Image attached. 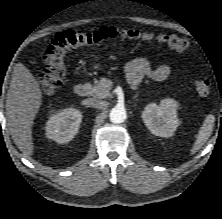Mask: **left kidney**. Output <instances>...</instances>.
<instances>
[{"mask_svg": "<svg viewBox=\"0 0 222 219\" xmlns=\"http://www.w3.org/2000/svg\"><path fill=\"white\" fill-rule=\"evenodd\" d=\"M178 103L174 99L165 98L160 104H148L142 112V120L150 132L160 137H171L176 131Z\"/></svg>", "mask_w": 222, "mask_h": 219, "instance_id": "left-kidney-1", "label": "left kidney"}]
</instances>
